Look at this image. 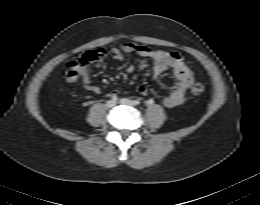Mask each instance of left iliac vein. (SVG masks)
Returning <instances> with one entry per match:
<instances>
[{
	"instance_id": "obj_1",
	"label": "left iliac vein",
	"mask_w": 260,
	"mask_h": 205,
	"mask_svg": "<svg viewBox=\"0 0 260 205\" xmlns=\"http://www.w3.org/2000/svg\"><path fill=\"white\" fill-rule=\"evenodd\" d=\"M120 103L123 104V105L134 106V102L130 99H127V98L120 99Z\"/></svg>"
}]
</instances>
